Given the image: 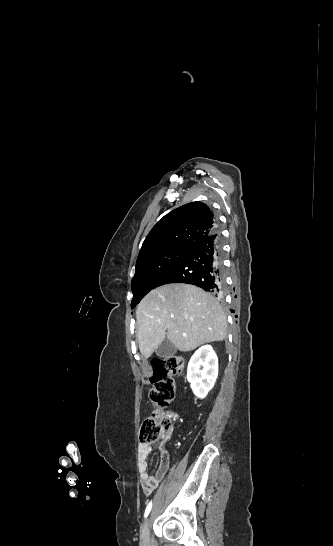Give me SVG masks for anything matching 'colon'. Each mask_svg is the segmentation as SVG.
Returning a JSON list of instances; mask_svg holds the SVG:
<instances>
[{
  "mask_svg": "<svg viewBox=\"0 0 333 546\" xmlns=\"http://www.w3.org/2000/svg\"><path fill=\"white\" fill-rule=\"evenodd\" d=\"M184 366V359L180 356H168L153 362L150 378L153 408L142 424L141 440L144 443L157 442L170 435L174 415L168 408L175 395L174 377L182 373Z\"/></svg>",
  "mask_w": 333,
  "mask_h": 546,
  "instance_id": "1",
  "label": "colon"
}]
</instances>
